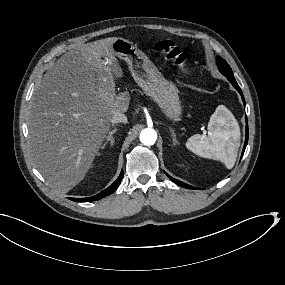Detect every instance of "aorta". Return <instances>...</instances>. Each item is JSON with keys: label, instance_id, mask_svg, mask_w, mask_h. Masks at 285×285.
Returning <instances> with one entry per match:
<instances>
[{"label": "aorta", "instance_id": "aorta-1", "mask_svg": "<svg viewBox=\"0 0 285 285\" xmlns=\"http://www.w3.org/2000/svg\"><path fill=\"white\" fill-rule=\"evenodd\" d=\"M157 140V133L152 128H145L140 133V141L146 145L151 146L153 145Z\"/></svg>", "mask_w": 285, "mask_h": 285}]
</instances>
